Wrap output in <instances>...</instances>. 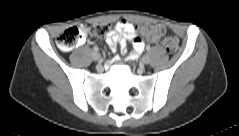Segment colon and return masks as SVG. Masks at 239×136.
I'll use <instances>...</instances> for the list:
<instances>
[{
    "instance_id": "colon-1",
    "label": "colon",
    "mask_w": 239,
    "mask_h": 136,
    "mask_svg": "<svg viewBox=\"0 0 239 136\" xmlns=\"http://www.w3.org/2000/svg\"><path fill=\"white\" fill-rule=\"evenodd\" d=\"M110 30L108 23L89 22L81 26L71 27L63 31L57 38V45L62 50L74 48L82 35L90 34L95 37H103ZM142 34L151 41H159L164 48L174 53L179 48V41L175 36L166 35L162 25L146 24L141 28Z\"/></svg>"
}]
</instances>
